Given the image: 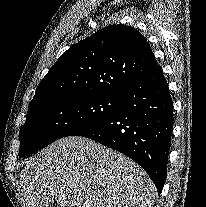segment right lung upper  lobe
<instances>
[{
  "label": "right lung upper lobe",
  "mask_w": 206,
  "mask_h": 207,
  "mask_svg": "<svg viewBox=\"0 0 206 207\" xmlns=\"http://www.w3.org/2000/svg\"><path fill=\"white\" fill-rule=\"evenodd\" d=\"M156 67L151 47L138 30L110 25L58 59L39 83L29 107L62 96L123 94Z\"/></svg>",
  "instance_id": "obj_1"
}]
</instances>
